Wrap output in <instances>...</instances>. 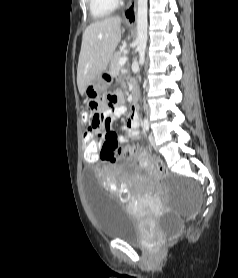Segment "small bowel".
<instances>
[{"label":"small bowel","instance_id":"small-bowel-1","mask_svg":"<svg viewBox=\"0 0 238 278\" xmlns=\"http://www.w3.org/2000/svg\"><path fill=\"white\" fill-rule=\"evenodd\" d=\"M126 112V107L119 103L118 100H105V103L100 104L95 111L92 120L86 131H92V136L84 137H103L105 145L109 142L119 143L137 141L140 139L139 134V113L133 111L127 123L123 126L125 135H118L112 130L110 124L115 119L120 118ZM136 160L143 167H149L147 155H136Z\"/></svg>","mask_w":238,"mask_h":278}]
</instances>
